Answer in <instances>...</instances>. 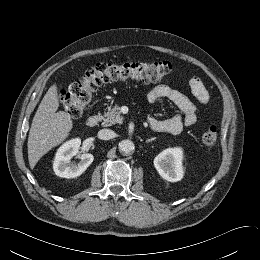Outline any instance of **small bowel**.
I'll return each mask as SVG.
<instances>
[{"mask_svg":"<svg viewBox=\"0 0 260 260\" xmlns=\"http://www.w3.org/2000/svg\"><path fill=\"white\" fill-rule=\"evenodd\" d=\"M189 85L191 92L199 103L206 104L209 101L208 90L198 77L191 78ZM147 99L150 103H155L161 99L170 100L182 113L164 120L151 118L149 125L154 131L178 134L184 127L192 126L197 120L196 106L186 95L168 85L155 86L148 92Z\"/></svg>","mask_w":260,"mask_h":260,"instance_id":"1","label":"small bowel"}]
</instances>
